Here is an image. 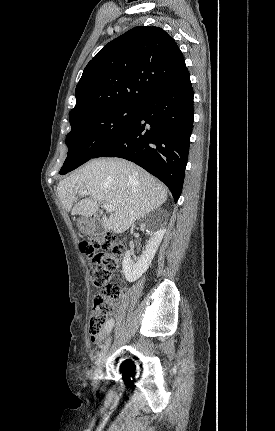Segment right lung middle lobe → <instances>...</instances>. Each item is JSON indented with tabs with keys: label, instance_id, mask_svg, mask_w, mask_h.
Masks as SVG:
<instances>
[{
	"label": "right lung middle lobe",
	"instance_id": "obj_1",
	"mask_svg": "<svg viewBox=\"0 0 275 431\" xmlns=\"http://www.w3.org/2000/svg\"><path fill=\"white\" fill-rule=\"evenodd\" d=\"M137 107L115 106L89 113L71 123L66 145L68 156L60 170L64 175L95 156L136 118Z\"/></svg>",
	"mask_w": 275,
	"mask_h": 431
}]
</instances>
